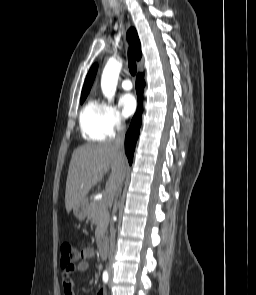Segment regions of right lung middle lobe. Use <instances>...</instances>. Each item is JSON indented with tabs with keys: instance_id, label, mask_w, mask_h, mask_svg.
Listing matches in <instances>:
<instances>
[{
	"instance_id": "1",
	"label": "right lung middle lobe",
	"mask_w": 256,
	"mask_h": 295,
	"mask_svg": "<svg viewBox=\"0 0 256 295\" xmlns=\"http://www.w3.org/2000/svg\"><path fill=\"white\" fill-rule=\"evenodd\" d=\"M87 95H81V103L84 102V100L86 99Z\"/></svg>"
}]
</instances>
